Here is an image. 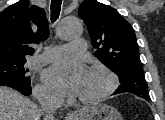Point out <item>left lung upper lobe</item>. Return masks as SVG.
<instances>
[{
    "mask_svg": "<svg viewBox=\"0 0 165 120\" xmlns=\"http://www.w3.org/2000/svg\"><path fill=\"white\" fill-rule=\"evenodd\" d=\"M79 16L97 49L96 57L119 77L121 85L114 94L130 92L150 99L131 25L116 9L95 0H85L79 7Z\"/></svg>",
    "mask_w": 165,
    "mask_h": 120,
    "instance_id": "left-lung-upper-lobe-1",
    "label": "left lung upper lobe"
}]
</instances>
